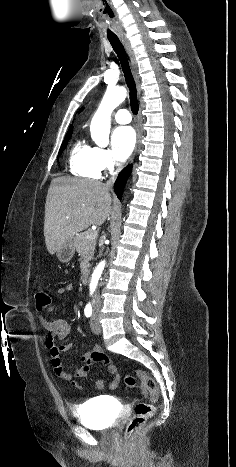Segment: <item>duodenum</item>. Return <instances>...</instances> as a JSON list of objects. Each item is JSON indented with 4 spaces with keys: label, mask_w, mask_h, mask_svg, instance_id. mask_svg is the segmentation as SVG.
<instances>
[{
    "label": "duodenum",
    "mask_w": 236,
    "mask_h": 467,
    "mask_svg": "<svg viewBox=\"0 0 236 467\" xmlns=\"http://www.w3.org/2000/svg\"><path fill=\"white\" fill-rule=\"evenodd\" d=\"M89 281V270L85 269L82 274H81V283L82 284H87Z\"/></svg>",
    "instance_id": "1"
}]
</instances>
